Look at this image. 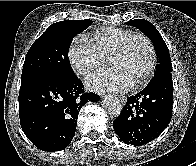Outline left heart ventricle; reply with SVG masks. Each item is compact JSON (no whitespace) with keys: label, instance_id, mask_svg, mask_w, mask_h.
Returning a JSON list of instances; mask_svg holds the SVG:
<instances>
[{"label":"left heart ventricle","instance_id":"left-heart-ventricle-1","mask_svg":"<svg viewBox=\"0 0 196 166\" xmlns=\"http://www.w3.org/2000/svg\"><path fill=\"white\" fill-rule=\"evenodd\" d=\"M150 60L147 44L142 39H137L125 55L111 58L109 64L112 68H119L134 83L145 74Z\"/></svg>","mask_w":196,"mask_h":166}]
</instances>
